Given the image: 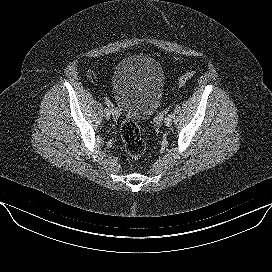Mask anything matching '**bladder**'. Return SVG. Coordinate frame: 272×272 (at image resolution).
<instances>
[{
  "mask_svg": "<svg viewBox=\"0 0 272 272\" xmlns=\"http://www.w3.org/2000/svg\"><path fill=\"white\" fill-rule=\"evenodd\" d=\"M165 85L161 64L138 54L123 59L112 77V93L120 112L131 121L144 120L157 110Z\"/></svg>",
  "mask_w": 272,
  "mask_h": 272,
  "instance_id": "1",
  "label": "bladder"
}]
</instances>
